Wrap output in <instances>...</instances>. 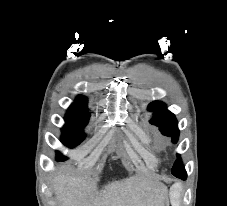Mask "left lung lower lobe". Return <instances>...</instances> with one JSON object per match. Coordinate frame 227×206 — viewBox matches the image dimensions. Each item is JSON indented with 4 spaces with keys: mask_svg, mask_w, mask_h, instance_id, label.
<instances>
[{
    "mask_svg": "<svg viewBox=\"0 0 227 206\" xmlns=\"http://www.w3.org/2000/svg\"><path fill=\"white\" fill-rule=\"evenodd\" d=\"M174 176H176V177H178V178H181V179L185 180L186 177H187V174H186L185 171H182L181 173L174 174Z\"/></svg>",
    "mask_w": 227,
    "mask_h": 206,
    "instance_id": "left-lung-lower-lobe-1",
    "label": "left lung lower lobe"
}]
</instances>
